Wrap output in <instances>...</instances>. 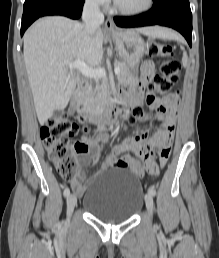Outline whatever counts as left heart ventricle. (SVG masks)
<instances>
[{"mask_svg": "<svg viewBox=\"0 0 219 258\" xmlns=\"http://www.w3.org/2000/svg\"><path fill=\"white\" fill-rule=\"evenodd\" d=\"M147 0H116V2L126 9H137L145 5Z\"/></svg>", "mask_w": 219, "mask_h": 258, "instance_id": "left-heart-ventricle-1", "label": "left heart ventricle"}]
</instances>
